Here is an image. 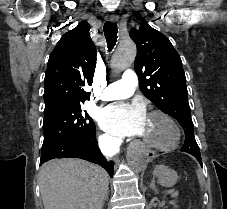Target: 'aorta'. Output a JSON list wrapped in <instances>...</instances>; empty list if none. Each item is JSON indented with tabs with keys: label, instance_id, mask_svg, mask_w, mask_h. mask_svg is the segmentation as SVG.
Here are the masks:
<instances>
[{
	"label": "aorta",
	"instance_id": "obj_1",
	"mask_svg": "<svg viewBox=\"0 0 227 209\" xmlns=\"http://www.w3.org/2000/svg\"><path fill=\"white\" fill-rule=\"evenodd\" d=\"M136 56V46L133 42H123L115 51L111 66L115 71L128 68ZM146 151L140 144H133L127 150V161L134 172H140L145 168Z\"/></svg>",
	"mask_w": 227,
	"mask_h": 209
}]
</instances>
